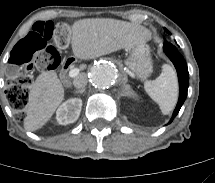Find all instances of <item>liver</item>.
<instances>
[{
	"label": "liver",
	"instance_id": "liver-1",
	"mask_svg": "<svg viewBox=\"0 0 215 183\" xmlns=\"http://www.w3.org/2000/svg\"><path fill=\"white\" fill-rule=\"evenodd\" d=\"M71 32L73 54L84 60L144 44L151 40L152 35L144 26L108 18L76 21ZM63 100L64 88L56 72H42L29 92L24 128L32 132L41 128Z\"/></svg>",
	"mask_w": 215,
	"mask_h": 183
}]
</instances>
